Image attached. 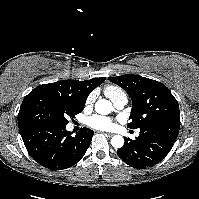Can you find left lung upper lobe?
I'll return each instance as SVG.
<instances>
[{"label": "left lung upper lobe", "instance_id": "1", "mask_svg": "<svg viewBox=\"0 0 199 199\" xmlns=\"http://www.w3.org/2000/svg\"><path fill=\"white\" fill-rule=\"evenodd\" d=\"M108 79L132 99V121L128 127L142 129L163 120L180 119L178 102L164 84L131 74Z\"/></svg>", "mask_w": 199, "mask_h": 199}]
</instances>
